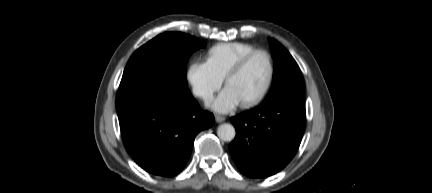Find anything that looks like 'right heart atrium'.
Segmentation results:
<instances>
[{"mask_svg":"<svg viewBox=\"0 0 432 193\" xmlns=\"http://www.w3.org/2000/svg\"><path fill=\"white\" fill-rule=\"evenodd\" d=\"M187 80L194 95L205 101L211 100L222 85V80L204 61H196L189 65Z\"/></svg>","mask_w":432,"mask_h":193,"instance_id":"obj_1","label":"right heart atrium"}]
</instances>
